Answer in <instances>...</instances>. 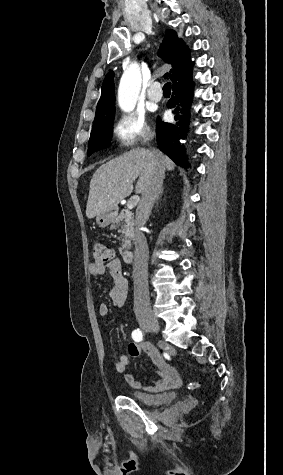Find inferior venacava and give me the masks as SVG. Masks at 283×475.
I'll return each instance as SVG.
<instances>
[{
	"mask_svg": "<svg viewBox=\"0 0 283 475\" xmlns=\"http://www.w3.org/2000/svg\"><path fill=\"white\" fill-rule=\"evenodd\" d=\"M153 162V170L149 176L147 186L142 194V200L137 208L135 253L133 261L134 279V309L135 313L140 311H151V303L148 289V245L141 228H144L152 210V206L158 198L164 180V166L156 152Z\"/></svg>",
	"mask_w": 283,
	"mask_h": 475,
	"instance_id": "1",
	"label": "inferior vena cava"
}]
</instances>
